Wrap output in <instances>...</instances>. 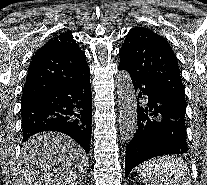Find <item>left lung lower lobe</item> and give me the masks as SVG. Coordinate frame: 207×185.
<instances>
[{
  "mask_svg": "<svg viewBox=\"0 0 207 185\" xmlns=\"http://www.w3.org/2000/svg\"><path fill=\"white\" fill-rule=\"evenodd\" d=\"M131 78L137 101L144 98L146 103L140 106L138 102V127L126 148V177L134 167L150 158L188 151L186 106L153 82L139 76Z\"/></svg>",
  "mask_w": 207,
  "mask_h": 185,
  "instance_id": "left-lung-lower-lobe-1",
  "label": "left lung lower lobe"
}]
</instances>
